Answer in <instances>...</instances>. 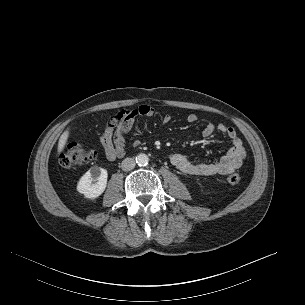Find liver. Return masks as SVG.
<instances>
[{
  "mask_svg": "<svg viewBox=\"0 0 305 305\" xmlns=\"http://www.w3.org/2000/svg\"><path fill=\"white\" fill-rule=\"evenodd\" d=\"M69 129H67L66 131H64L62 133V135L60 136L59 138V141H58V153H61L63 150H64V147L66 145V142L69 138Z\"/></svg>",
  "mask_w": 305,
  "mask_h": 305,
  "instance_id": "liver-1",
  "label": "liver"
}]
</instances>
